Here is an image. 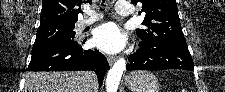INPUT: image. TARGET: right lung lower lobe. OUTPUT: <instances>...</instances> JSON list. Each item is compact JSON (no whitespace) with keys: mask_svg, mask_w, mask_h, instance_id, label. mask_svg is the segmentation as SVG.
Returning a JSON list of instances; mask_svg holds the SVG:
<instances>
[{"mask_svg":"<svg viewBox=\"0 0 225 92\" xmlns=\"http://www.w3.org/2000/svg\"><path fill=\"white\" fill-rule=\"evenodd\" d=\"M109 64L99 50H84L76 41L50 43L33 47L29 71L92 70L102 85Z\"/></svg>","mask_w":225,"mask_h":92,"instance_id":"1","label":"right lung lower lobe"}]
</instances>
